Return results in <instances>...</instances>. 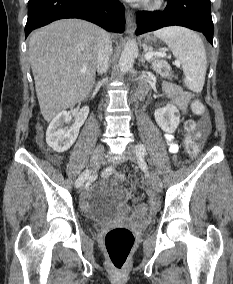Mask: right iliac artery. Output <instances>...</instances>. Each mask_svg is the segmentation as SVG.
<instances>
[{
  "label": "right iliac artery",
  "mask_w": 233,
  "mask_h": 284,
  "mask_svg": "<svg viewBox=\"0 0 233 284\" xmlns=\"http://www.w3.org/2000/svg\"><path fill=\"white\" fill-rule=\"evenodd\" d=\"M89 174H90V171H89L88 169L85 170V171L78 177V179L76 180V183H75L76 187H79V184H80V183H84V182H85V181H84V178H85V177H88Z\"/></svg>",
  "instance_id": "right-iliac-artery-1"
}]
</instances>
